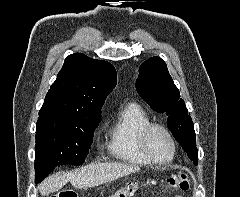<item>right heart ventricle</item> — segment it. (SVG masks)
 <instances>
[{"mask_svg":"<svg viewBox=\"0 0 240 197\" xmlns=\"http://www.w3.org/2000/svg\"><path fill=\"white\" fill-rule=\"evenodd\" d=\"M150 122L148 113L140 105L130 103L122 107L107 131L106 145L110 156L132 165H150L139 144L140 131Z\"/></svg>","mask_w":240,"mask_h":197,"instance_id":"1","label":"right heart ventricle"}]
</instances>
